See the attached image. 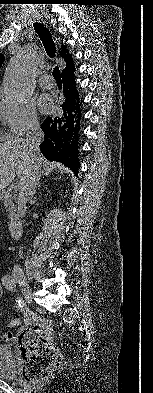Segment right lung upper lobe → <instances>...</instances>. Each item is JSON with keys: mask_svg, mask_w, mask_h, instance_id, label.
Returning a JSON list of instances; mask_svg holds the SVG:
<instances>
[{"mask_svg": "<svg viewBox=\"0 0 153 393\" xmlns=\"http://www.w3.org/2000/svg\"><path fill=\"white\" fill-rule=\"evenodd\" d=\"M61 49H62L61 56L65 59V62H66V67H65V69L62 70V74H63L69 70L74 69V65H73L72 57L68 53H66V47L64 45H62ZM4 59H5L4 56L2 55V53H0V67H1V64L3 63Z\"/></svg>", "mask_w": 153, "mask_h": 393, "instance_id": "1", "label": "right lung upper lobe"}]
</instances>
